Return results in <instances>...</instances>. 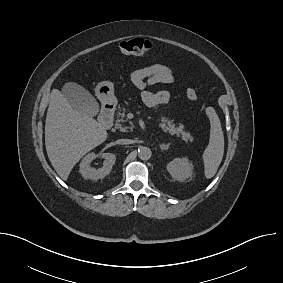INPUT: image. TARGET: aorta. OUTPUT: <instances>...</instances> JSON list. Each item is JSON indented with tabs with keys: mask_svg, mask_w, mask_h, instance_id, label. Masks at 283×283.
I'll use <instances>...</instances> for the list:
<instances>
[{
	"mask_svg": "<svg viewBox=\"0 0 283 283\" xmlns=\"http://www.w3.org/2000/svg\"><path fill=\"white\" fill-rule=\"evenodd\" d=\"M151 155H152V152H151L150 148H148V147H141L138 150V156L141 160H148V159H150Z\"/></svg>",
	"mask_w": 283,
	"mask_h": 283,
	"instance_id": "aorta-1",
	"label": "aorta"
}]
</instances>
